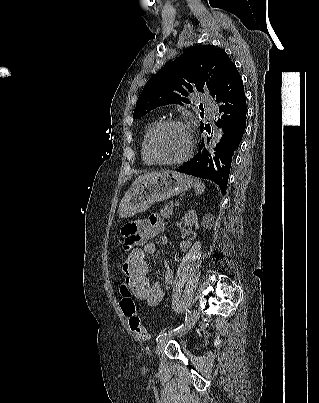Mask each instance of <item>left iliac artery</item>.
I'll use <instances>...</instances> for the list:
<instances>
[{"instance_id":"1","label":"left iliac artery","mask_w":319,"mask_h":403,"mask_svg":"<svg viewBox=\"0 0 319 403\" xmlns=\"http://www.w3.org/2000/svg\"><path fill=\"white\" fill-rule=\"evenodd\" d=\"M191 318V312L190 310H186V317H185V321L182 325H180L179 327L175 328L173 331L169 332V333H163L160 334L157 338L156 341H161L163 338L167 337V336H171L173 333H177L179 331H181L185 325L190 321Z\"/></svg>"}]
</instances>
